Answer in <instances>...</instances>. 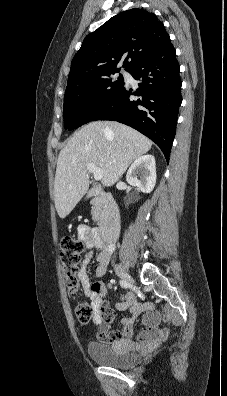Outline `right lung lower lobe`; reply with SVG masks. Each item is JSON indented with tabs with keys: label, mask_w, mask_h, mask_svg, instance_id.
<instances>
[{
	"label": "right lung lower lobe",
	"mask_w": 227,
	"mask_h": 396,
	"mask_svg": "<svg viewBox=\"0 0 227 396\" xmlns=\"http://www.w3.org/2000/svg\"><path fill=\"white\" fill-rule=\"evenodd\" d=\"M180 67L171 42L137 61L128 72L139 80L136 91L123 86L92 118L126 124L153 140L169 161L182 102ZM138 98L131 100L130 96Z\"/></svg>",
	"instance_id": "obj_1"
}]
</instances>
